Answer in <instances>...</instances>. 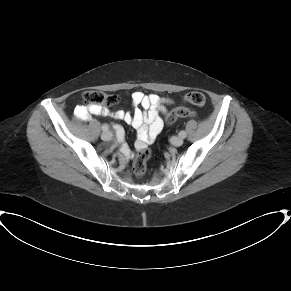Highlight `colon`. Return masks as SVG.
Wrapping results in <instances>:
<instances>
[{
	"instance_id": "obj_1",
	"label": "colon",
	"mask_w": 291,
	"mask_h": 291,
	"mask_svg": "<svg viewBox=\"0 0 291 291\" xmlns=\"http://www.w3.org/2000/svg\"><path fill=\"white\" fill-rule=\"evenodd\" d=\"M85 106L87 108H108L115 105L118 102V97L111 93H105L100 90H89L83 94ZM184 102L191 105L202 106L205 104V96L201 92H190L184 96ZM192 112L185 108H178L171 111L167 118L166 123L168 125L173 124L180 118L191 117ZM150 157V150L148 148H142L135 157L133 163V171L138 177H142L146 172V163Z\"/></svg>"
}]
</instances>
